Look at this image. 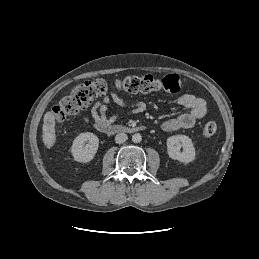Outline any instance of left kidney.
<instances>
[{
    "label": "left kidney",
    "mask_w": 259,
    "mask_h": 259,
    "mask_svg": "<svg viewBox=\"0 0 259 259\" xmlns=\"http://www.w3.org/2000/svg\"><path fill=\"white\" fill-rule=\"evenodd\" d=\"M183 151L180 152V149ZM167 153L170 158L182 163H190L195 159V148L192 140L186 135H174L167 139Z\"/></svg>",
    "instance_id": "left-kidney-1"
}]
</instances>
